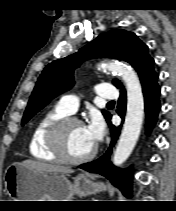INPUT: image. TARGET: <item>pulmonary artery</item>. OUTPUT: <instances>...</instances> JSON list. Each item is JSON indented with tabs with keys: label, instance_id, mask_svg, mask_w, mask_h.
<instances>
[{
	"label": "pulmonary artery",
	"instance_id": "obj_1",
	"mask_svg": "<svg viewBox=\"0 0 176 211\" xmlns=\"http://www.w3.org/2000/svg\"><path fill=\"white\" fill-rule=\"evenodd\" d=\"M96 94L99 98L114 100L118 97V92L113 85L108 83L99 84L96 88ZM58 105L71 114L77 110L79 105V98L76 95H65L63 96Z\"/></svg>",
	"mask_w": 176,
	"mask_h": 211
}]
</instances>
